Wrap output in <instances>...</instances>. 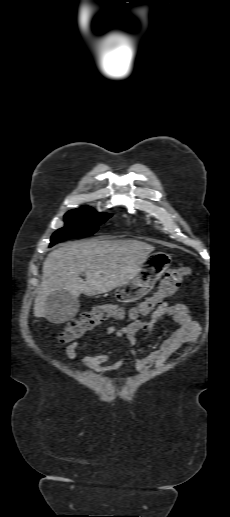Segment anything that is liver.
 <instances>
[{"label":"liver","instance_id":"1","mask_svg":"<svg viewBox=\"0 0 230 517\" xmlns=\"http://www.w3.org/2000/svg\"><path fill=\"white\" fill-rule=\"evenodd\" d=\"M154 247L140 241L87 240L64 244L48 254L34 303V316L46 317L45 303L56 291L78 298L109 292L128 282ZM84 272L85 281L80 277Z\"/></svg>","mask_w":230,"mask_h":517}]
</instances>
